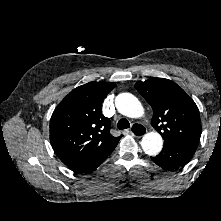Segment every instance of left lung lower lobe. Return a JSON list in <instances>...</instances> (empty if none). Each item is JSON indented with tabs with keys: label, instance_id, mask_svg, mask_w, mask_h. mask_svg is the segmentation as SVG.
Returning a JSON list of instances; mask_svg holds the SVG:
<instances>
[{
	"label": "left lung lower lobe",
	"instance_id": "1",
	"mask_svg": "<svg viewBox=\"0 0 221 221\" xmlns=\"http://www.w3.org/2000/svg\"><path fill=\"white\" fill-rule=\"evenodd\" d=\"M199 141L191 140L182 144H164L161 153L151 157L152 161L166 170L185 166L193 157Z\"/></svg>",
	"mask_w": 221,
	"mask_h": 221
}]
</instances>
